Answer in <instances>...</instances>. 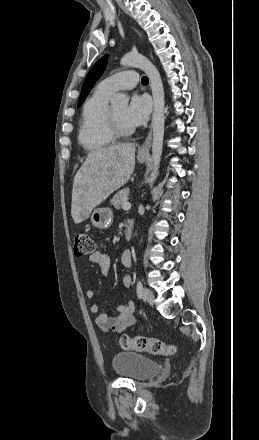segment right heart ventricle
Wrapping results in <instances>:
<instances>
[{
    "label": "right heart ventricle",
    "instance_id": "1",
    "mask_svg": "<svg viewBox=\"0 0 259 440\" xmlns=\"http://www.w3.org/2000/svg\"><path fill=\"white\" fill-rule=\"evenodd\" d=\"M110 96L97 88L82 107L78 142L87 152L101 151L115 141L108 121Z\"/></svg>",
    "mask_w": 259,
    "mask_h": 440
}]
</instances>
